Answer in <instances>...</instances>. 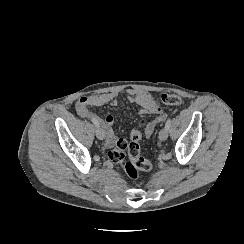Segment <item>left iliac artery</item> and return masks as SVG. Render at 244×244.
<instances>
[{"instance_id": "left-iliac-artery-1", "label": "left iliac artery", "mask_w": 244, "mask_h": 244, "mask_svg": "<svg viewBox=\"0 0 244 244\" xmlns=\"http://www.w3.org/2000/svg\"><path fill=\"white\" fill-rule=\"evenodd\" d=\"M171 126V118H169L167 121H166V124H165V128H167V130L170 128Z\"/></svg>"}]
</instances>
